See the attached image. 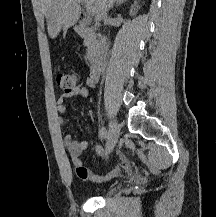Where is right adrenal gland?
I'll return each instance as SVG.
<instances>
[{
  "mask_svg": "<svg viewBox=\"0 0 216 217\" xmlns=\"http://www.w3.org/2000/svg\"><path fill=\"white\" fill-rule=\"evenodd\" d=\"M127 0H123L121 3H119L118 5H121L122 3L126 2Z\"/></svg>",
  "mask_w": 216,
  "mask_h": 217,
  "instance_id": "2a0ac1e0",
  "label": "right adrenal gland"
}]
</instances>
